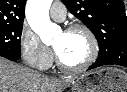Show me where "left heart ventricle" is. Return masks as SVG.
Wrapping results in <instances>:
<instances>
[{
	"label": "left heart ventricle",
	"instance_id": "b2bd125f",
	"mask_svg": "<svg viewBox=\"0 0 127 92\" xmlns=\"http://www.w3.org/2000/svg\"><path fill=\"white\" fill-rule=\"evenodd\" d=\"M53 46L60 59L69 66L83 63L90 53V42L82 31L61 32L53 40Z\"/></svg>",
	"mask_w": 127,
	"mask_h": 92
}]
</instances>
